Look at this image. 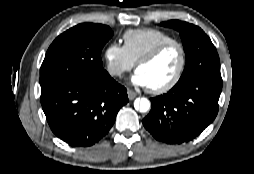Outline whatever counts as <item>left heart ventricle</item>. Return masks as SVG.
<instances>
[{"label": "left heart ventricle", "instance_id": "left-heart-ventricle-1", "mask_svg": "<svg viewBox=\"0 0 254 174\" xmlns=\"http://www.w3.org/2000/svg\"><path fill=\"white\" fill-rule=\"evenodd\" d=\"M180 51L176 46L163 51L155 60L140 66L150 88H157L168 83L176 74L180 64Z\"/></svg>", "mask_w": 254, "mask_h": 174}]
</instances>
